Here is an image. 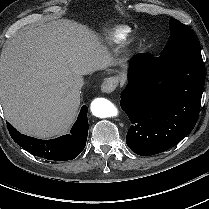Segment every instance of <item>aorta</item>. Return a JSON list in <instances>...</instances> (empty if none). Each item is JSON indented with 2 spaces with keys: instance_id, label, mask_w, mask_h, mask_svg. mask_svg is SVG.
I'll return each mask as SVG.
<instances>
[{
  "instance_id": "762f6f07",
  "label": "aorta",
  "mask_w": 209,
  "mask_h": 209,
  "mask_svg": "<svg viewBox=\"0 0 209 209\" xmlns=\"http://www.w3.org/2000/svg\"><path fill=\"white\" fill-rule=\"evenodd\" d=\"M91 112L99 118H109L117 115V109L113 103L104 98H96L91 102Z\"/></svg>"
}]
</instances>
